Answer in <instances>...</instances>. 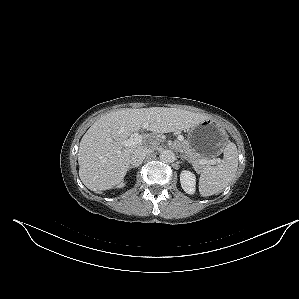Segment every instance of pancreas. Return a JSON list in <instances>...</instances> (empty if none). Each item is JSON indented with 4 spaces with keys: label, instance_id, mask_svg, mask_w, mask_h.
I'll return each mask as SVG.
<instances>
[{
    "label": "pancreas",
    "instance_id": "cf45deb5",
    "mask_svg": "<svg viewBox=\"0 0 299 299\" xmlns=\"http://www.w3.org/2000/svg\"><path fill=\"white\" fill-rule=\"evenodd\" d=\"M180 147L186 154L188 161H190L197 170L203 169L204 165L199 164L203 158L191 147L187 140L181 141Z\"/></svg>",
    "mask_w": 299,
    "mask_h": 299
}]
</instances>
